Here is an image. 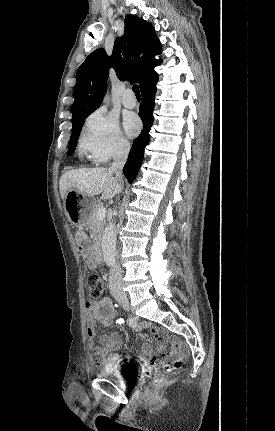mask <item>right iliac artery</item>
Segmentation results:
<instances>
[{
    "label": "right iliac artery",
    "mask_w": 275,
    "mask_h": 431,
    "mask_svg": "<svg viewBox=\"0 0 275 431\" xmlns=\"http://www.w3.org/2000/svg\"><path fill=\"white\" fill-rule=\"evenodd\" d=\"M127 323H128V325L130 326V327H136L137 326V321H136V319L134 318V317H130L128 320H127Z\"/></svg>",
    "instance_id": "obj_1"
}]
</instances>
